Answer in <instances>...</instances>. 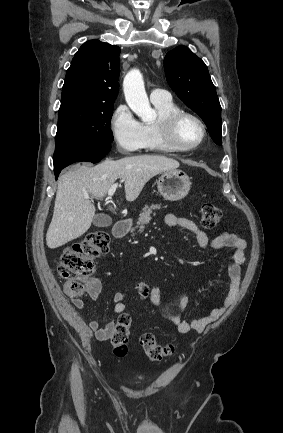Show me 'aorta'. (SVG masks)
<instances>
[{
  "label": "aorta",
  "mask_w": 283,
  "mask_h": 433,
  "mask_svg": "<svg viewBox=\"0 0 283 433\" xmlns=\"http://www.w3.org/2000/svg\"><path fill=\"white\" fill-rule=\"evenodd\" d=\"M125 99L132 111L144 122L156 118V112L151 108L145 87L143 76L138 69L130 70L123 81Z\"/></svg>",
  "instance_id": "obj_1"
}]
</instances>
